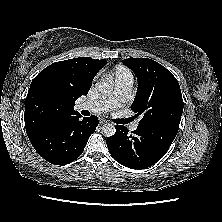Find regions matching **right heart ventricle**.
I'll return each instance as SVG.
<instances>
[{
  "label": "right heart ventricle",
  "instance_id": "1",
  "mask_svg": "<svg viewBox=\"0 0 222 222\" xmlns=\"http://www.w3.org/2000/svg\"><path fill=\"white\" fill-rule=\"evenodd\" d=\"M125 74H131V73L129 72V70H127L124 67H118L115 72V78L121 75H125Z\"/></svg>",
  "mask_w": 222,
  "mask_h": 222
}]
</instances>
